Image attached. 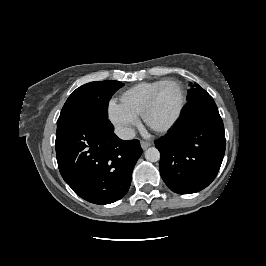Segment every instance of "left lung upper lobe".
Here are the masks:
<instances>
[{"mask_svg": "<svg viewBox=\"0 0 266 266\" xmlns=\"http://www.w3.org/2000/svg\"><path fill=\"white\" fill-rule=\"evenodd\" d=\"M192 87V85H191ZM207 93L203 88H201L199 85H196V87L192 88L190 91H189V97H188V100H192L193 98L195 97H198L200 95H203Z\"/></svg>", "mask_w": 266, "mask_h": 266, "instance_id": "5c2ea615", "label": "left lung upper lobe"}]
</instances>
